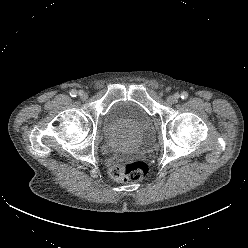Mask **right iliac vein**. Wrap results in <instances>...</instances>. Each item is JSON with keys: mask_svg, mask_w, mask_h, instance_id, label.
<instances>
[{"mask_svg": "<svg viewBox=\"0 0 248 248\" xmlns=\"http://www.w3.org/2000/svg\"><path fill=\"white\" fill-rule=\"evenodd\" d=\"M79 96L83 100L87 99V97H88L87 93H85L83 91H79Z\"/></svg>", "mask_w": 248, "mask_h": 248, "instance_id": "63e3f726", "label": "right iliac vein"}]
</instances>
